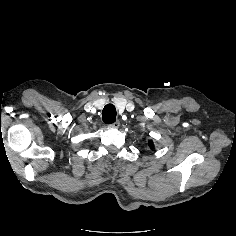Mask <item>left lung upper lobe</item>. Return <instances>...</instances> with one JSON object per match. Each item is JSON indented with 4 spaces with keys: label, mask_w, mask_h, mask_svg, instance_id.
<instances>
[{
    "label": "left lung upper lobe",
    "mask_w": 236,
    "mask_h": 236,
    "mask_svg": "<svg viewBox=\"0 0 236 236\" xmlns=\"http://www.w3.org/2000/svg\"><path fill=\"white\" fill-rule=\"evenodd\" d=\"M148 145H149V147H150L151 149L154 148V145H153V142H152V141H149Z\"/></svg>",
    "instance_id": "obj_1"
}]
</instances>
